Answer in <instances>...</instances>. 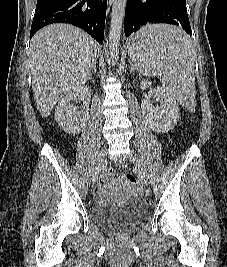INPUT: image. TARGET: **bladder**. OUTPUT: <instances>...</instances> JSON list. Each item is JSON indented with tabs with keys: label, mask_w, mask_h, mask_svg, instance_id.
<instances>
[{
	"label": "bladder",
	"mask_w": 227,
	"mask_h": 267,
	"mask_svg": "<svg viewBox=\"0 0 227 267\" xmlns=\"http://www.w3.org/2000/svg\"><path fill=\"white\" fill-rule=\"evenodd\" d=\"M92 217L95 223L103 227L129 231L146 219L147 209L142 204L130 206L95 204L92 208Z\"/></svg>",
	"instance_id": "obj_1"
}]
</instances>
